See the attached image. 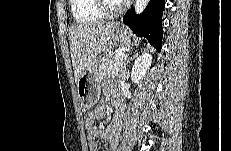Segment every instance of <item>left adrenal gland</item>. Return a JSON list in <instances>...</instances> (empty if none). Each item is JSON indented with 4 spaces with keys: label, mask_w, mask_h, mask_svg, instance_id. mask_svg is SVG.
I'll return each instance as SVG.
<instances>
[{
    "label": "left adrenal gland",
    "mask_w": 231,
    "mask_h": 151,
    "mask_svg": "<svg viewBox=\"0 0 231 151\" xmlns=\"http://www.w3.org/2000/svg\"><path fill=\"white\" fill-rule=\"evenodd\" d=\"M135 56H137V54L135 55ZM127 63H128V60H127V62L124 64V66H123V71H121L122 72V77L125 79V78H129V72H126V65H127Z\"/></svg>",
    "instance_id": "left-adrenal-gland-1"
}]
</instances>
